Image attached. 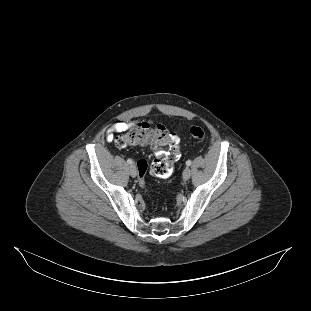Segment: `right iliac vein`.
<instances>
[{"label": "right iliac vein", "mask_w": 311, "mask_h": 311, "mask_svg": "<svg viewBox=\"0 0 311 311\" xmlns=\"http://www.w3.org/2000/svg\"><path fill=\"white\" fill-rule=\"evenodd\" d=\"M129 173L132 177H136L137 175V170H136V167L134 165H131L129 167Z\"/></svg>", "instance_id": "1"}]
</instances>
